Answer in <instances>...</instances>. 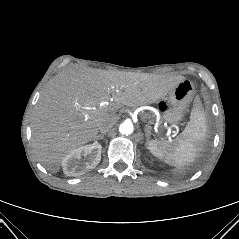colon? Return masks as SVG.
Returning a JSON list of instances; mask_svg holds the SVG:
<instances>
[{"label": "colon", "instance_id": "1", "mask_svg": "<svg viewBox=\"0 0 239 239\" xmlns=\"http://www.w3.org/2000/svg\"><path fill=\"white\" fill-rule=\"evenodd\" d=\"M162 110H166V106L165 105L162 106Z\"/></svg>", "mask_w": 239, "mask_h": 239}]
</instances>
